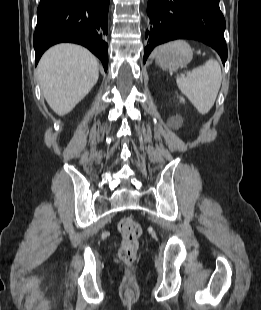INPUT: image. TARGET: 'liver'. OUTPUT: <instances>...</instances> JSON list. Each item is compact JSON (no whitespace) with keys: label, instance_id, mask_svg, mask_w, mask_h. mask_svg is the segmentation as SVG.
<instances>
[{"label":"liver","instance_id":"liver-1","mask_svg":"<svg viewBox=\"0 0 261 310\" xmlns=\"http://www.w3.org/2000/svg\"><path fill=\"white\" fill-rule=\"evenodd\" d=\"M37 74L47 103L57 115L63 116L71 112L96 84L98 61L84 47L59 44L42 56Z\"/></svg>","mask_w":261,"mask_h":310}]
</instances>
